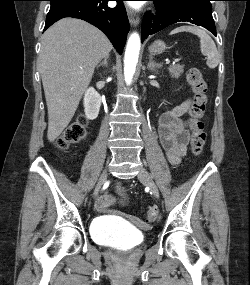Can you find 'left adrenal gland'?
Returning a JSON list of instances; mask_svg holds the SVG:
<instances>
[{
  "mask_svg": "<svg viewBox=\"0 0 250 285\" xmlns=\"http://www.w3.org/2000/svg\"><path fill=\"white\" fill-rule=\"evenodd\" d=\"M161 63H156L154 60H153V55H150L149 56V63L147 65V68L151 71H156V69H159L161 67Z\"/></svg>",
  "mask_w": 250,
  "mask_h": 285,
  "instance_id": "1",
  "label": "left adrenal gland"
}]
</instances>
